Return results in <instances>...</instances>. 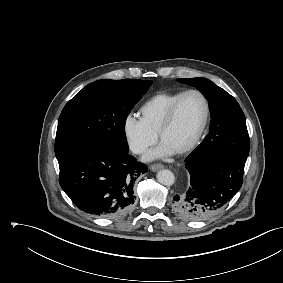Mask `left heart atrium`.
<instances>
[{
	"mask_svg": "<svg viewBox=\"0 0 283 283\" xmlns=\"http://www.w3.org/2000/svg\"><path fill=\"white\" fill-rule=\"evenodd\" d=\"M174 153L175 151L173 149H171L168 145L162 142L157 148L150 151L146 155V159L151 160L156 158H166L173 155Z\"/></svg>",
	"mask_w": 283,
	"mask_h": 283,
	"instance_id": "left-heart-atrium-1",
	"label": "left heart atrium"
}]
</instances>
